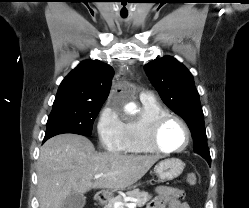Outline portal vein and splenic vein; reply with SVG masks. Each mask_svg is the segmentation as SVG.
<instances>
[{
  "label": "portal vein and splenic vein",
  "instance_id": "portal-vein-and-splenic-vein-1",
  "mask_svg": "<svg viewBox=\"0 0 249 208\" xmlns=\"http://www.w3.org/2000/svg\"><path fill=\"white\" fill-rule=\"evenodd\" d=\"M103 176H107V175L97 174V175H95V179H98V178L103 177ZM124 206H126L128 208H136L135 203H127V204H124L122 202H115L114 203V208H124Z\"/></svg>",
  "mask_w": 249,
  "mask_h": 208
}]
</instances>
